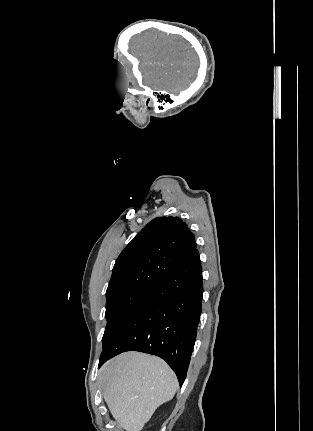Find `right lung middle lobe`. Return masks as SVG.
<instances>
[{
    "mask_svg": "<svg viewBox=\"0 0 313 431\" xmlns=\"http://www.w3.org/2000/svg\"><path fill=\"white\" fill-rule=\"evenodd\" d=\"M151 291H129L106 296L107 326L102 338L103 347L111 340L117 330L147 297Z\"/></svg>",
    "mask_w": 313,
    "mask_h": 431,
    "instance_id": "1",
    "label": "right lung middle lobe"
}]
</instances>
